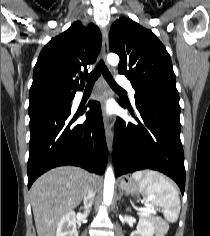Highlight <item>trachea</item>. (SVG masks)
<instances>
[{
  "label": "trachea",
  "mask_w": 210,
  "mask_h": 236,
  "mask_svg": "<svg viewBox=\"0 0 210 236\" xmlns=\"http://www.w3.org/2000/svg\"><path fill=\"white\" fill-rule=\"evenodd\" d=\"M103 74L106 81L109 83L112 89L119 92H125L121 87H119L116 82L114 81L113 77L111 76L110 72L108 71L107 67L105 66L102 60L96 65L94 71L90 74L81 76L82 79L86 80L87 88H92L97 78Z\"/></svg>",
  "instance_id": "obj_1"
}]
</instances>
